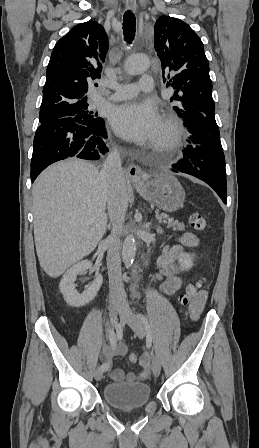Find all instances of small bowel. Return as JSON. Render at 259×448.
<instances>
[{
    "mask_svg": "<svg viewBox=\"0 0 259 448\" xmlns=\"http://www.w3.org/2000/svg\"><path fill=\"white\" fill-rule=\"evenodd\" d=\"M199 239L191 234L185 233L179 238V242L176 245L166 246L162 254L158 259L159 273L158 279L161 281V290L166 295H173L176 293L181 285L182 281L179 277L180 268L178 261L180 256L187 248H194L198 246ZM208 294L206 291L196 297L190 306V315L192 320H196L201 315ZM127 353V348L124 343L118 342L114 346H105L103 350L104 358H111L113 356H123ZM141 370L138 373H128L124 375L121 370H112L109 373L110 378L113 381L119 382L126 380L128 382L144 381L150 376V357L147 353H143L140 357ZM110 364V362H109ZM110 367V366H109Z\"/></svg>",
    "mask_w": 259,
    "mask_h": 448,
    "instance_id": "small-bowel-1",
    "label": "small bowel"
}]
</instances>
